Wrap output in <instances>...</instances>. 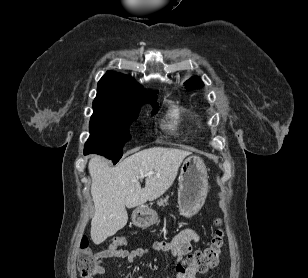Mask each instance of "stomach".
Listing matches in <instances>:
<instances>
[{
    "mask_svg": "<svg viewBox=\"0 0 308 278\" xmlns=\"http://www.w3.org/2000/svg\"><path fill=\"white\" fill-rule=\"evenodd\" d=\"M208 170L198 156H189L181 166L179 174L178 207L180 214L191 217L203 206L208 193ZM139 227H149L158 221L157 213L148 208H139L133 214Z\"/></svg>",
    "mask_w": 308,
    "mask_h": 278,
    "instance_id": "obj_1",
    "label": "stomach"
}]
</instances>
